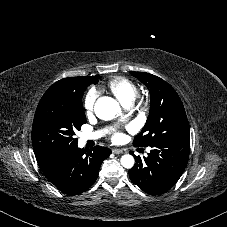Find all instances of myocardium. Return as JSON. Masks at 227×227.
Returning <instances> with one entry per match:
<instances>
[{"label":"myocardium","mask_w":227,"mask_h":227,"mask_svg":"<svg viewBox=\"0 0 227 227\" xmlns=\"http://www.w3.org/2000/svg\"><path fill=\"white\" fill-rule=\"evenodd\" d=\"M134 104L137 105V108L140 109V111H143L146 108L147 100L143 95H136Z\"/></svg>","instance_id":"f54148a6"}]
</instances>
